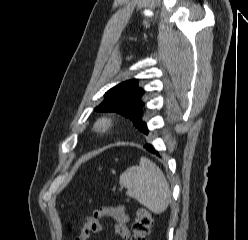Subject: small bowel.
<instances>
[{"label":"small bowel","instance_id":"small-bowel-1","mask_svg":"<svg viewBox=\"0 0 248 240\" xmlns=\"http://www.w3.org/2000/svg\"><path fill=\"white\" fill-rule=\"evenodd\" d=\"M104 219H113L115 221L114 231L119 238L123 240L130 239L127 226L129 217L123 206L115 205L98 208L91 215L83 218L74 240H87L91 235L100 234L103 231L102 220ZM75 230V228L69 229L71 233H74Z\"/></svg>","mask_w":248,"mask_h":240}]
</instances>
